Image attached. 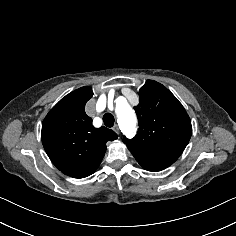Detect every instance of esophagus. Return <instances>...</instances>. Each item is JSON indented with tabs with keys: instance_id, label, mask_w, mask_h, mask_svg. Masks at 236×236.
I'll return each mask as SVG.
<instances>
[{
	"instance_id": "1",
	"label": "esophagus",
	"mask_w": 236,
	"mask_h": 236,
	"mask_svg": "<svg viewBox=\"0 0 236 236\" xmlns=\"http://www.w3.org/2000/svg\"><path fill=\"white\" fill-rule=\"evenodd\" d=\"M113 130H114L117 134H119V132H120L119 127H118L117 124H115V125L113 126Z\"/></svg>"
}]
</instances>
